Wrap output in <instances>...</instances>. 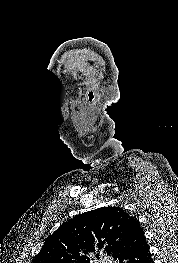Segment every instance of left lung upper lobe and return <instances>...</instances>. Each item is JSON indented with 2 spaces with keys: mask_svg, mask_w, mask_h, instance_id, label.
Returning <instances> with one entry per match:
<instances>
[{
  "mask_svg": "<svg viewBox=\"0 0 178 263\" xmlns=\"http://www.w3.org/2000/svg\"><path fill=\"white\" fill-rule=\"evenodd\" d=\"M133 218L120 207L79 214L45 240L33 263H90L96 250L114 256Z\"/></svg>",
  "mask_w": 178,
  "mask_h": 263,
  "instance_id": "1",
  "label": "left lung upper lobe"
}]
</instances>
